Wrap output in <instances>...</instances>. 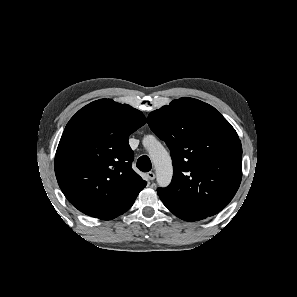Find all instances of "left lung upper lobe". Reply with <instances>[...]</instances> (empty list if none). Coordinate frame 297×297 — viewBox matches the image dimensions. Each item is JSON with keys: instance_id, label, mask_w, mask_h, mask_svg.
Here are the masks:
<instances>
[{"instance_id": "5c2ea615", "label": "left lung upper lobe", "mask_w": 297, "mask_h": 297, "mask_svg": "<svg viewBox=\"0 0 297 297\" xmlns=\"http://www.w3.org/2000/svg\"><path fill=\"white\" fill-rule=\"evenodd\" d=\"M148 125L169 147L174 169L159 197L195 220L228 205L242 178V146L232 125L211 105L188 97L151 112Z\"/></svg>"}]
</instances>
